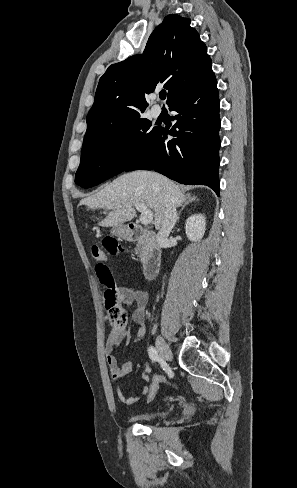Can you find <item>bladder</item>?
<instances>
[{"label":"bladder","mask_w":297,"mask_h":488,"mask_svg":"<svg viewBox=\"0 0 297 488\" xmlns=\"http://www.w3.org/2000/svg\"><path fill=\"white\" fill-rule=\"evenodd\" d=\"M166 413H141L129 416L132 422L148 423L164 417Z\"/></svg>","instance_id":"obj_1"}]
</instances>
